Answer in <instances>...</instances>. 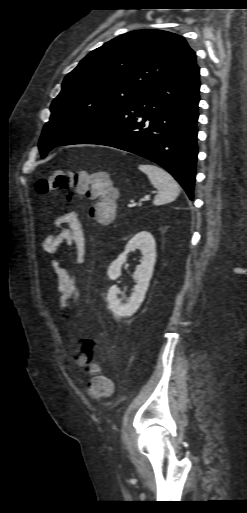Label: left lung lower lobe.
I'll use <instances>...</instances> for the list:
<instances>
[{"mask_svg":"<svg viewBox=\"0 0 247 513\" xmlns=\"http://www.w3.org/2000/svg\"><path fill=\"white\" fill-rule=\"evenodd\" d=\"M199 88L194 57L180 73L63 145H106L147 158L171 173L193 200Z\"/></svg>","mask_w":247,"mask_h":513,"instance_id":"1","label":"left lung lower lobe"}]
</instances>
